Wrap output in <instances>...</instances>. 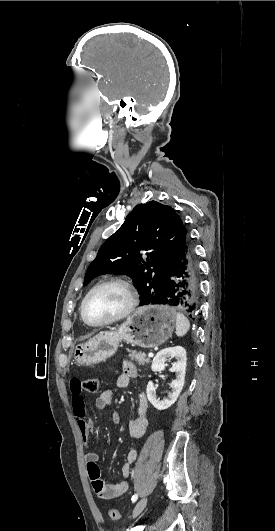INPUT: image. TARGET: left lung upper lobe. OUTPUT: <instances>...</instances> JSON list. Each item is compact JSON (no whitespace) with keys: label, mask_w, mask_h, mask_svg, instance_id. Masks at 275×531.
<instances>
[{"label":"left lung upper lobe","mask_w":275,"mask_h":531,"mask_svg":"<svg viewBox=\"0 0 275 531\" xmlns=\"http://www.w3.org/2000/svg\"><path fill=\"white\" fill-rule=\"evenodd\" d=\"M186 235L182 219L170 206L156 201L139 204L101 246L87 269L84 285L98 275L126 274L140 294V306L153 304L164 292L172 261Z\"/></svg>","instance_id":"5c2ea615"}]
</instances>
